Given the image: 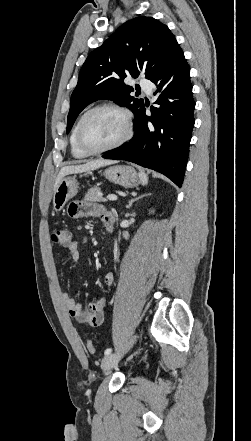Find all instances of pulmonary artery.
Here are the masks:
<instances>
[{"label": "pulmonary artery", "mask_w": 251, "mask_h": 441, "mask_svg": "<svg viewBox=\"0 0 251 441\" xmlns=\"http://www.w3.org/2000/svg\"><path fill=\"white\" fill-rule=\"evenodd\" d=\"M139 84H140L141 88H142L147 94H150V93L152 92L153 84H152V82H150L149 80H147V79H141V80L139 81Z\"/></svg>", "instance_id": "e3ab8cb5"}]
</instances>
